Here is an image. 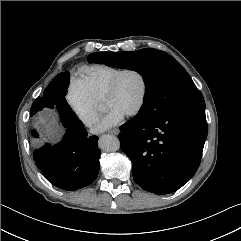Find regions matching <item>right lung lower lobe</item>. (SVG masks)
I'll return each mask as SVG.
<instances>
[{"instance_id": "98d812e1", "label": "right lung lower lobe", "mask_w": 241, "mask_h": 241, "mask_svg": "<svg viewBox=\"0 0 241 241\" xmlns=\"http://www.w3.org/2000/svg\"><path fill=\"white\" fill-rule=\"evenodd\" d=\"M66 134L55 144H45L33 153L37 167L54 186L71 191L81 189L97 178L100 150L97 136H88L82 126H64Z\"/></svg>"}]
</instances>
